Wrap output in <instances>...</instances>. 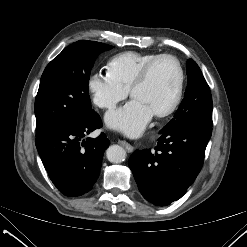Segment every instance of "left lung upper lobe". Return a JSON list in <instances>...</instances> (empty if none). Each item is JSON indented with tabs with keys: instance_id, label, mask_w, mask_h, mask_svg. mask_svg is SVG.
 Instances as JSON below:
<instances>
[{
	"instance_id": "left-lung-upper-lobe-1",
	"label": "left lung upper lobe",
	"mask_w": 247,
	"mask_h": 247,
	"mask_svg": "<svg viewBox=\"0 0 247 247\" xmlns=\"http://www.w3.org/2000/svg\"><path fill=\"white\" fill-rule=\"evenodd\" d=\"M188 85L178 110L160 131L167 132L179 124L196 121L212 127V97L209 86L198 65L192 59L187 61Z\"/></svg>"
}]
</instances>
